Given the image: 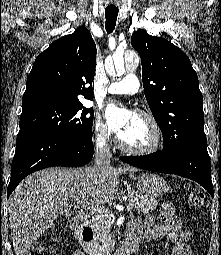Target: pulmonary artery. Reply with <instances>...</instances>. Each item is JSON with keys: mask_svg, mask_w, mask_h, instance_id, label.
Returning a JSON list of instances; mask_svg holds the SVG:
<instances>
[{"mask_svg": "<svg viewBox=\"0 0 221 255\" xmlns=\"http://www.w3.org/2000/svg\"><path fill=\"white\" fill-rule=\"evenodd\" d=\"M139 80L133 75L129 74L120 81L111 83L108 86V93L110 94H135L139 91Z\"/></svg>", "mask_w": 221, "mask_h": 255, "instance_id": "e3ab8cb5", "label": "pulmonary artery"}]
</instances>
